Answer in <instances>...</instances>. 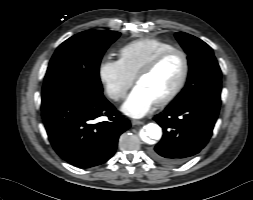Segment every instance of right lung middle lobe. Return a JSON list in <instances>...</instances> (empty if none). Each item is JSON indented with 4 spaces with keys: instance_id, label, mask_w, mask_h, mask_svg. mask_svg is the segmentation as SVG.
<instances>
[{
    "instance_id": "obj_1",
    "label": "right lung middle lobe",
    "mask_w": 253,
    "mask_h": 200,
    "mask_svg": "<svg viewBox=\"0 0 253 200\" xmlns=\"http://www.w3.org/2000/svg\"><path fill=\"white\" fill-rule=\"evenodd\" d=\"M119 36L116 31L87 30L64 41L49 63L42 93L73 91L103 96L100 61Z\"/></svg>"
}]
</instances>
